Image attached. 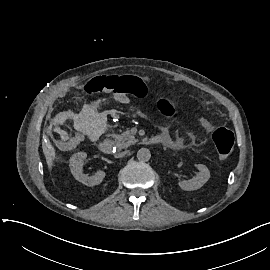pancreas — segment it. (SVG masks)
Listing matches in <instances>:
<instances>
[{"label": "pancreas", "mask_w": 270, "mask_h": 270, "mask_svg": "<svg viewBox=\"0 0 270 270\" xmlns=\"http://www.w3.org/2000/svg\"><path fill=\"white\" fill-rule=\"evenodd\" d=\"M114 138L117 140L116 147L120 150L128 148L132 143L136 141L129 130L124 131L120 135H114Z\"/></svg>", "instance_id": "cf45deb5"}]
</instances>
